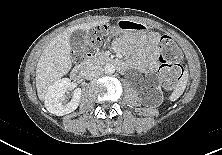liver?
<instances>
[{
    "label": "liver",
    "mask_w": 222,
    "mask_h": 155,
    "mask_svg": "<svg viewBox=\"0 0 222 155\" xmlns=\"http://www.w3.org/2000/svg\"><path fill=\"white\" fill-rule=\"evenodd\" d=\"M107 22V19H103L70 27L56 35L45 46L35 71L36 88L40 100H46L48 89L72 67L71 34L77 30H90Z\"/></svg>",
    "instance_id": "1"
}]
</instances>
